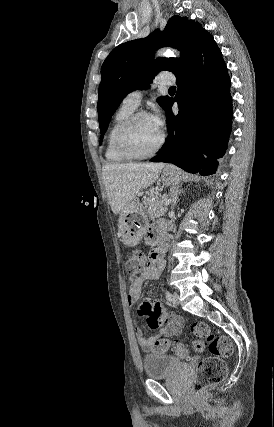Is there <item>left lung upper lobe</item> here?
Here are the masks:
<instances>
[{
    "label": "left lung upper lobe",
    "mask_w": 274,
    "mask_h": 427,
    "mask_svg": "<svg viewBox=\"0 0 274 427\" xmlns=\"http://www.w3.org/2000/svg\"><path fill=\"white\" fill-rule=\"evenodd\" d=\"M212 36L202 26L187 17L173 16L165 29L155 30L144 39H136L114 48L101 67V83L97 104L101 139L109 121L123 98L136 89H145L160 71L175 75L189 62L194 51ZM170 46L181 51V58H158L154 51ZM170 97L157 99L165 108Z\"/></svg>",
    "instance_id": "obj_1"
}]
</instances>
